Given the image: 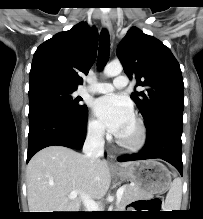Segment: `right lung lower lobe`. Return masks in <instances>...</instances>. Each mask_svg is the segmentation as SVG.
Returning a JSON list of instances; mask_svg holds the SVG:
<instances>
[{
    "mask_svg": "<svg viewBox=\"0 0 203 219\" xmlns=\"http://www.w3.org/2000/svg\"><path fill=\"white\" fill-rule=\"evenodd\" d=\"M86 121L87 112L72 116L51 106H29L27 162L48 146L81 148L86 137Z\"/></svg>",
    "mask_w": 203,
    "mask_h": 219,
    "instance_id": "right-lung-lower-lobe-1",
    "label": "right lung lower lobe"
}]
</instances>
